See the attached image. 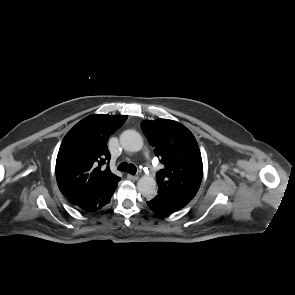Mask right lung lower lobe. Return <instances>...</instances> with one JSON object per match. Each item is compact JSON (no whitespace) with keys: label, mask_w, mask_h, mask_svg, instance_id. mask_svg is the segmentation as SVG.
<instances>
[{"label":"right lung lower lobe","mask_w":295,"mask_h":295,"mask_svg":"<svg viewBox=\"0 0 295 295\" xmlns=\"http://www.w3.org/2000/svg\"><path fill=\"white\" fill-rule=\"evenodd\" d=\"M119 181L120 178L115 179L93 195L68 200L85 212H95L109 203Z\"/></svg>","instance_id":"1"}]
</instances>
